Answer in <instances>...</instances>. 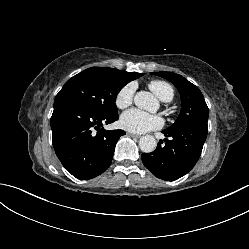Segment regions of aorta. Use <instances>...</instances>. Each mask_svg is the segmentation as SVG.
Returning <instances> with one entry per match:
<instances>
[{"label": "aorta", "instance_id": "1", "mask_svg": "<svg viewBox=\"0 0 249 249\" xmlns=\"http://www.w3.org/2000/svg\"><path fill=\"white\" fill-rule=\"evenodd\" d=\"M134 103L137 107L145 110L153 109L156 105V99L147 91L137 92L134 96ZM156 139L151 135L142 136L139 140V147L141 151L150 153L156 149Z\"/></svg>", "mask_w": 249, "mask_h": 249}]
</instances>
